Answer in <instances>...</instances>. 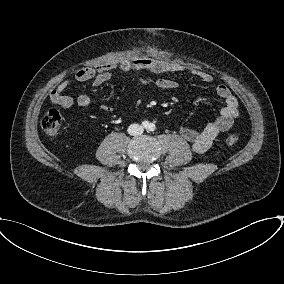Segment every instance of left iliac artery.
<instances>
[{"instance_id": "44dca946", "label": "left iliac artery", "mask_w": 284, "mask_h": 284, "mask_svg": "<svg viewBox=\"0 0 284 284\" xmlns=\"http://www.w3.org/2000/svg\"><path fill=\"white\" fill-rule=\"evenodd\" d=\"M155 125L154 124H150V126H149V129H150V131H154L155 130Z\"/></svg>"}]
</instances>
